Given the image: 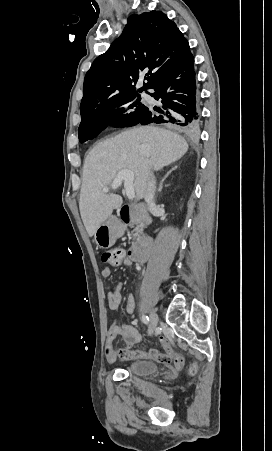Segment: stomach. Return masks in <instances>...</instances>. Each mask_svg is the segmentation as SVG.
Here are the masks:
<instances>
[{"label":"stomach","instance_id":"stomach-1","mask_svg":"<svg viewBox=\"0 0 272 451\" xmlns=\"http://www.w3.org/2000/svg\"><path fill=\"white\" fill-rule=\"evenodd\" d=\"M94 239L99 247H104V249H107V247L114 245L116 235L112 227L108 226L106 222V224H101V226L97 227L94 233Z\"/></svg>","mask_w":272,"mask_h":451}]
</instances>
